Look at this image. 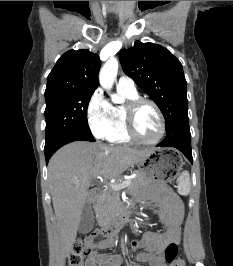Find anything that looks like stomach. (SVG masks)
Returning a JSON list of instances; mask_svg holds the SVG:
<instances>
[{
	"mask_svg": "<svg viewBox=\"0 0 233 266\" xmlns=\"http://www.w3.org/2000/svg\"><path fill=\"white\" fill-rule=\"evenodd\" d=\"M184 166V156L178 147H155L142 161L138 162L140 172L147 183L154 180H177V172Z\"/></svg>",
	"mask_w": 233,
	"mask_h": 266,
	"instance_id": "1",
	"label": "stomach"
}]
</instances>
